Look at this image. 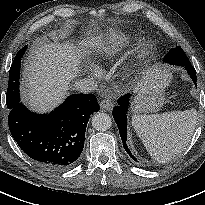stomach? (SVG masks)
<instances>
[{"mask_svg": "<svg viewBox=\"0 0 205 205\" xmlns=\"http://www.w3.org/2000/svg\"><path fill=\"white\" fill-rule=\"evenodd\" d=\"M168 86L169 81L166 79L155 84L150 90L139 91L131 103L133 113L146 114L158 111L165 102V94Z\"/></svg>", "mask_w": 205, "mask_h": 205, "instance_id": "obj_1", "label": "stomach"}]
</instances>
